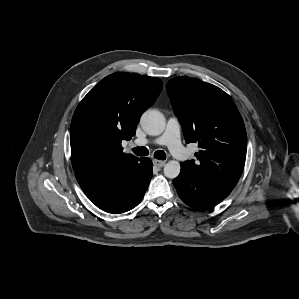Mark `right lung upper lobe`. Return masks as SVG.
I'll return each instance as SVG.
<instances>
[{
  "label": "right lung upper lobe",
  "mask_w": 299,
  "mask_h": 299,
  "mask_svg": "<svg viewBox=\"0 0 299 299\" xmlns=\"http://www.w3.org/2000/svg\"><path fill=\"white\" fill-rule=\"evenodd\" d=\"M162 90L159 78L113 73L82 99L70 127L71 160L75 175H96L138 158L123 152L142 113Z\"/></svg>",
  "instance_id": "cb5924a9"
}]
</instances>
